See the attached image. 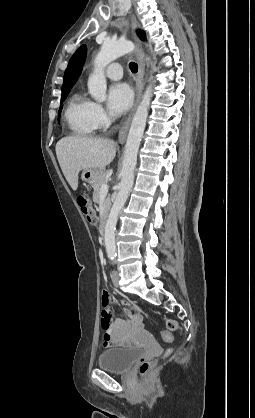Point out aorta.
Wrapping results in <instances>:
<instances>
[{
	"label": "aorta",
	"instance_id": "aorta-1",
	"mask_svg": "<svg viewBox=\"0 0 255 418\" xmlns=\"http://www.w3.org/2000/svg\"><path fill=\"white\" fill-rule=\"evenodd\" d=\"M134 48V44L127 40L105 41L103 43L100 52L94 60V72L88 79L89 93L96 101L103 102L106 99L105 67L118 57L133 51ZM151 96L152 89L148 86L133 117L128 133L122 166V179L105 226L104 242L108 256H115L116 254V224L119 212L123 208L133 186L137 153L146 126Z\"/></svg>",
	"mask_w": 255,
	"mask_h": 418
}]
</instances>
